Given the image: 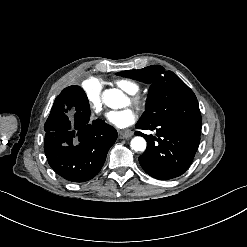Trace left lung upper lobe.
Masks as SVG:
<instances>
[{
    "mask_svg": "<svg viewBox=\"0 0 247 247\" xmlns=\"http://www.w3.org/2000/svg\"><path fill=\"white\" fill-rule=\"evenodd\" d=\"M151 84L146 110L137 125L156 126L164 122H182L201 128V113L193 91L173 72L160 65L117 73Z\"/></svg>",
    "mask_w": 247,
    "mask_h": 247,
    "instance_id": "1",
    "label": "left lung upper lobe"
}]
</instances>
